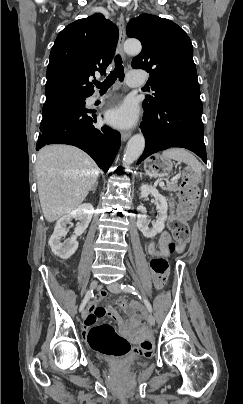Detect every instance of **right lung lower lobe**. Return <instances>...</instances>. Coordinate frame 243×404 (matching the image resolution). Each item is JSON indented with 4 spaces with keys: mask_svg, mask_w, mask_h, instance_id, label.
Wrapping results in <instances>:
<instances>
[{
    "mask_svg": "<svg viewBox=\"0 0 243 404\" xmlns=\"http://www.w3.org/2000/svg\"><path fill=\"white\" fill-rule=\"evenodd\" d=\"M96 115L85 105H72L56 109L43 116L36 150L46 144L74 145L88 153L107 172L121 143L120 133L109 129H96Z\"/></svg>",
    "mask_w": 243,
    "mask_h": 404,
    "instance_id": "right-lung-lower-lobe-1",
    "label": "right lung lower lobe"
}]
</instances>
